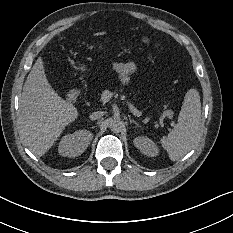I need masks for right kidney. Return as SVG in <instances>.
<instances>
[{
  "mask_svg": "<svg viewBox=\"0 0 233 233\" xmlns=\"http://www.w3.org/2000/svg\"><path fill=\"white\" fill-rule=\"evenodd\" d=\"M93 139V134L88 130H78L73 134L62 137L58 152L63 157L80 156L89 146Z\"/></svg>",
  "mask_w": 233,
  "mask_h": 233,
  "instance_id": "obj_1",
  "label": "right kidney"
}]
</instances>
